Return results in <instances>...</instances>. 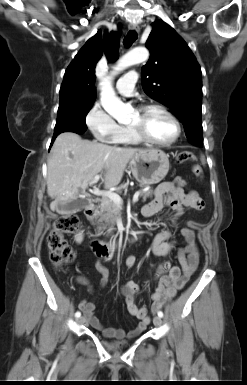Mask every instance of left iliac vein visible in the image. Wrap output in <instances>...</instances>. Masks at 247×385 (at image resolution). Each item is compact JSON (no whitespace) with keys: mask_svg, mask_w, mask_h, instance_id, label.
<instances>
[{"mask_svg":"<svg viewBox=\"0 0 247 385\" xmlns=\"http://www.w3.org/2000/svg\"><path fill=\"white\" fill-rule=\"evenodd\" d=\"M153 323L155 326H161L162 325V319L159 316H155L153 319Z\"/></svg>","mask_w":247,"mask_h":385,"instance_id":"1","label":"left iliac vein"}]
</instances>
